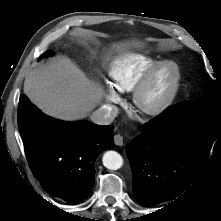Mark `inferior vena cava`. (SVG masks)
<instances>
[{
	"label": "inferior vena cava",
	"instance_id": "inferior-vena-cava-1",
	"mask_svg": "<svg viewBox=\"0 0 221 221\" xmlns=\"http://www.w3.org/2000/svg\"><path fill=\"white\" fill-rule=\"evenodd\" d=\"M118 114V108L115 105H103L95 110L91 115L93 123L98 125H109Z\"/></svg>",
	"mask_w": 221,
	"mask_h": 221
}]
</instances>
